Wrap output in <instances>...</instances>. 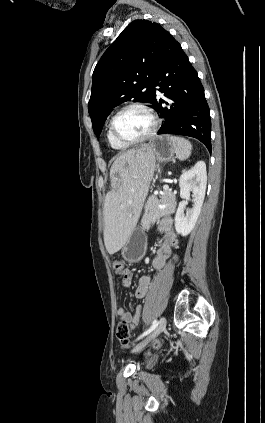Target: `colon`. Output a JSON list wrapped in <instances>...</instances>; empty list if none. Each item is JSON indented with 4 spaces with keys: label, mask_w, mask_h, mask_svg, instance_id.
I'll list each match as a JSON object with an SVG mask.
<instances>
[{
    "label": "colon",
    "mask_w": 265,
    "mask_h": 423,
    "mask_svg": "<svg viewBox=\"0 0 265 423\" xmlns=\"http://www.w3.org/2000/svg\"><path fill=\"white\" fill-rule=\"evenodd\" d=\"M124 263L120 259H116L113 262V268L116 271H122L124 269ZM116 337L118 341L124 346L127 347L130 342V330L128 325L125 322H121L116 327ZM160 346V342L157 340L152 344L153 349H158Z\"/></svg>",
    "instance_id": "obj_1"
}]
</instances>
